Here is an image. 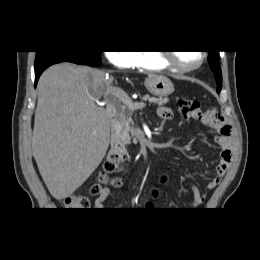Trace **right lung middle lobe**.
Returning a JSON list of instances; mask_svg holds the SVG:
<instances>
[{
	"instance_id": "right-lung-middle-lobe-1",
	"label": "right lung middle lobe",
	"mask_w": 260,
	"mask_h": 260,
	"mask_svg": "<svg viewBox=\"0 0 260 260\" xmlns=\"http://www.w3.org/2000/svg\"><path fill=\"white\" fill-rule=\"evenodd\" d=\"M55 53L56 52H53V51H42V52L41 51H37L36 59H35V65L39 64L40 62H42L43 60H45L46 58H48L49 56H51V55H53ZM81 53L100 56V51L81 52Z\"/></svg>"
}]
</instances>
